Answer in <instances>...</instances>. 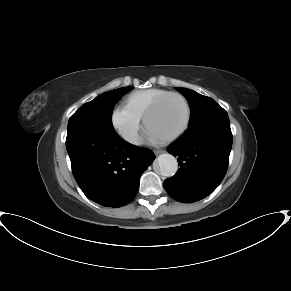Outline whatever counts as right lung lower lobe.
Wrapping results in <instances>:
<instances>
[{
	"mask_svg": "<svg viewBox=\"0 0 291 291\" xmlns=\"http://www.w3.org/2000/svg\"><path fill=\"white\" fill-rule=\"evenodd\" d=\"M66 148L83 193L94 202L113 208L134 199L140 176L155 159L152 151L129 144L114 130L68 129Z\"/></svg>",
	"mask_w": 291,
	"mask_h": 291,
	"instance_id": "98d812e1",
	"label": "right lung lower lobe"
}]
</instances>
